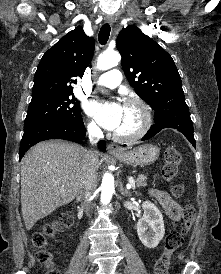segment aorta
I'll use <instances>...</instances> for the list:
<instances>
[{
	"label": "aorta",
	"instance_id": "1",
	"mask_svg": "<svg viewBox=\"0 0 221 274\" xmlns=\"http://www.w3.org/2000/svg\"><path fill=\"white\" fill-rule=\"evenodd\" d=\"M121 56L118 52H109L99 56L97 60V68L100 70H108L118 65ZM114 177L110 173H105L101 184V203L110 202L114 193Z\"/></svg>",
	"mask_w": 221,
	"mask_h": 274
}]
</instances>
